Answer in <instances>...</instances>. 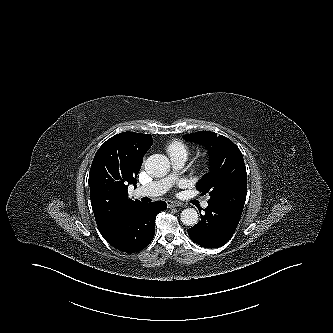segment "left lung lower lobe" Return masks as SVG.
<instances>
[{
  "mask_svg": "<svg viewBox=\"0 0 333 333\" xmlns=\"http://www.w3.org/2000/svg\"><path fill=\"white\" fill-rule=\"evenodd\" d=\"M204 211L205 215H201V221L188 229L190 238L205 248L223 246L235 232L241 214L210 201Z\"/></svg>",
  "mask_w": 333,
  "mask_h": 333,
  "instance_id": "obj_1",
  "label": "left lung lower lobe"
}]
</instances>
